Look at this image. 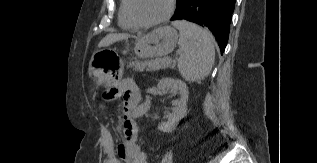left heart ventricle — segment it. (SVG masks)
<instances>
[{
    "label": "left heart ventricle",
    "mask_w": 317,
    "mask_h": 163,
    "mask_svg": "<svg viewBox=\"0 0 317 163\" xmlns=\"http://www.w3.org/2000/svg\"><path fill=\"white\" fill-rule=\"evenodd\" d=\"M169 0H134L135 14L143 21L160 18L168 9Z\"/></svg>",
    "instance_id": "1"
}]
</instances>
